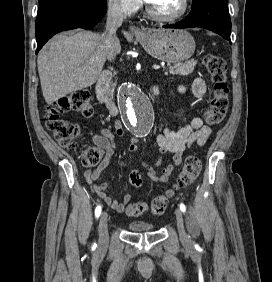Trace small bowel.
Segmentation results:
<instances>
[{
  "instance_id": "c3829d8e",
  "label": "small bowel",
  "mask_w": 272,
  "mask_h": 282,
  "mask_svg": "<svg viewBox=\"0 0 272 282\" xmlns=\"http://www.w3.org/2000/svg\"><path fill=\"white\" fill-rule=\"evenodd\" d=\"M179 93H185L186 88L178 86ZM191 93L197 98H204L207 94L206 82L203 78H196L190 88ZM211 133V129L203 124L200 117H194L190 124L178 129L171 130L166 127L162 132L157 134L156 143L159 146L161 155L170 154L172 157L171 163L164 167L161 174L155 171L156 166L162 164V156L155 162L144 161L143 166L147 170L148 177L156 183H166L174 169L182 162L183 154L191 147L192 144L204 145ZM125 135V130L120 122L115 123V132L108 129H103L100 134L92 136V142L99 147L103 153L104 158L93 171H86L84 177L87 183L91 186L97 196L102 199L108 206L118 212H124L128 203L131 200L130 194H124L121 201L109 196L106 193L108 183L98 184L102 172L108 167L113 151L117 148L119 140ZM139 138L130 140L127 150L129 152H136L138 150ZM138 188V187H135Z\"/></svg>"
}]
</instances>
